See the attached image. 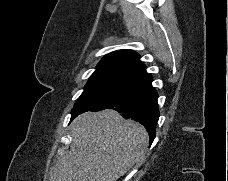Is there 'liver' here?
<instances>
[{
  "instance_id": "1",
  "label": "liver",
  "mask_w": 228,
  "mask_h": 181,
  "mask_svg": "<svg viewBox=\"0 0 228 181\" xmlns=\"http://www.w3.org/2000/svg\"><path fill=\"white\" fill-rule=\"evenodd\" d=\"M70 127L71 149L60 157L49 181H118L146 159V129L117 111L83 113Z\"/></svg>"
}]
</instances>
